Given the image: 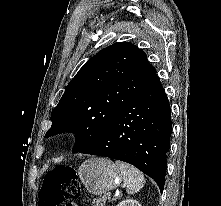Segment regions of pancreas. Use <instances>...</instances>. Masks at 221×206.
Listing matches in <instances>:
<instances>
[{
	"label": "pancreas",
	"instance_id": "cf45deb5",
	"mask_svg": "<svg viewBox=\"0 0 221 206\" xmlns=\"http://www.w3.org/2000/svg\"><path fill=\"white\" fill-rule=\"evenodd\" d=\"M109 198L106 195H103L102 197L98 198L96 201L93 202V206H105L106 201Z\"/></svg>",
	"mask_w": 221,
	"mask_h": 206
}]
</instances>
